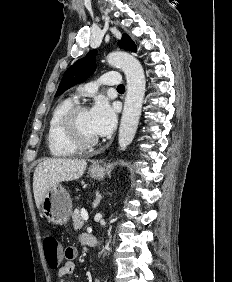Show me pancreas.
Wrapping results in <instances>:
<instances>
[{
  "label": "pancreas",
  "instance_id": "cf45deb5",
  "mask_svg": "<svg viewBox=\"0 0 232 282\" xmlns=\"http://www.w3.org/2000/svg\"><path fill=\"white\" fill-rule=\"evenodd\" d=\"M72 219H73V226L75 230L81 229L84 225V219L80 215V213H73L72 214Z\"/></svg>",
  "mask_w": 232,
  "mask_h": 282
}]
</instances>
